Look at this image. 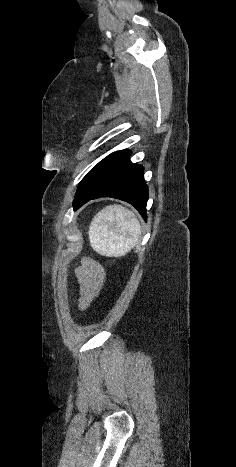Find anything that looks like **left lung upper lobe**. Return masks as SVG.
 <instances>
[{
  "label": "left lung upper lobe",
  "instance_id": "obj_1",
  "mask_svg": "<svg viewBox=\"0 0 236 467\" xmlns=\"http://www.w3.org/2000/svg\"><path fill=\"white\" fill-rule=\"evenodd\" d=\"M93 169H94V168H93ZM93 169H91V170L89 171V173L83 178V180H82L81 183L79 184V187L85 182V180L88 178V176L90 175V173L92 172ZM79 187H78V188H79Z\"/></svg>",
  "mask_w": 236,
  "mask_h": 467
}]
</instances>
